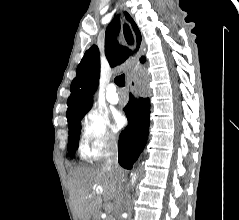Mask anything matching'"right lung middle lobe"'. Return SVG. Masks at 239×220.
Returning <instances> with one entry per match:
<instances>
[{"label":"right lung middle lobe","mask_w":239,"mask_h":220,"mask_svg":"<svg viewBox=\"0 0 239 220\" xmlns=\"http://www.w3.org/2000/svg\"><path fill=\"white\" fill-rule=\"evenodd\" d=\"M84 115L80 116L69 124V137H68V152L71 156L75 153V150L79 145L80 131H81V120Z\"/></svg>","instance_id":"right-lung-middle-lobe-1"}]
</instances>
